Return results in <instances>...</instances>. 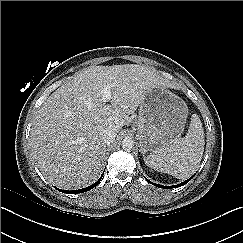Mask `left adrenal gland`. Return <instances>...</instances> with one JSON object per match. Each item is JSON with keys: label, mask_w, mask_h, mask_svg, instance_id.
I'll return each mask as SVG.
<instances>
[{"label": "left adrenal gland", "mask_w": 243, "mask_h": 243, "mask_svg": "<svg viewBox=\"0 0 243 243\" xmlns=\"http://www.w3.org/2000/svg\"><path fill=\"white\" fill-rule=\"evenodd\" d=\"M141 153H142V154H143V156H144V154H145V153H144L142 150H141ZM144 160H145V157H144Z\"/></svg>", "instance_id": "left-adrenal-gland-1"}]
</instances>
